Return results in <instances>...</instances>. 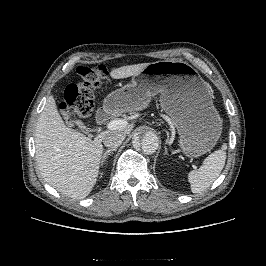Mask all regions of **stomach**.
<instances>
[{"instance_id": "stomach-1", "label": "stomach", "mask_w": 266, "mask_h": 266, "mask_svg": "<svg viewBox=\"0 0 266 266\" xmlns=\"http://www.w3.org/2000/svg\"><path fill=\"white\" fill-rule=\"evenodd\" d=\"M160 94L162 110L179 134V147L190 158L209 152L222 132V120L213 105L209 85L182 60L149 63L131 83L104 100L109 111L142 110Z\"/></svg>"}]
</instances>
